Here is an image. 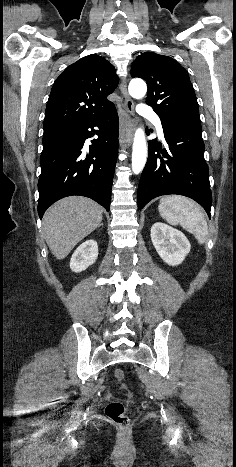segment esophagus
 I'll return each mask as SVG.
<instances>
[{
	"mask_svg": "<svg viewBox=\"0 0 236 467\" xmlns=\"http://www.w3.org/2000/svg\"><path fill=\"white\" fill-rule=\"evenodd\" d=\"M126 82V77H123L121 81V94L124 98V131L122 133V137L123 143L130 145L132 143L133 132L135 129L134 103L127 92Z\"/></svg>",
	"mask_w": 236,
	"mask_h": 467,
	"instance_id": "34e87169",
	"label": "esophagus"
}]
</instances>
